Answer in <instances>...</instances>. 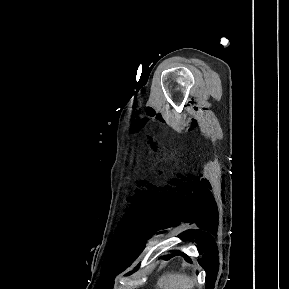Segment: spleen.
I'll list each match as a JSON object with an SVG mask.
<instances>
[{"label": "spleen", "instance_id": "obj_1", "mask_svg": "<svg viewBox=\"0 0 289 289\" xmlns=\"http://www.w3.org/2000/svg\"><path fill=\"white\" fill-rule=\"evenodd\" d=\"M159 289H194V280L185 273H165L157 281Z\"/></svg>", "mask_w": 289, "mask_h": 289}]
</instances>
